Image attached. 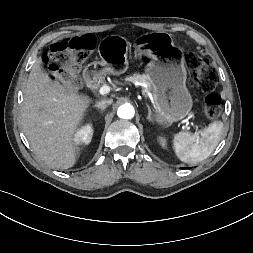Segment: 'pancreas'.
<instances>
[{"label": "pancreas", "mask_w": 253, "mask_h": 253, "mask_svg": "<svg viewBox=\"0 0 253 253\" xmlns=\"http://www.w3.org/2000/svg\"><path fill=\"white\" fill-rule=\"evenodd\" d=\"M127 80L131 82L147 83L146 77L143 75H134V76L128 77Z\"/></svg>", "instance_id": "obj_1"}]
</instances>
